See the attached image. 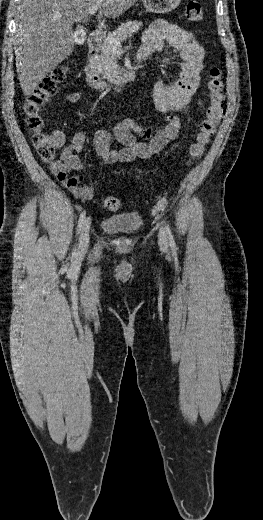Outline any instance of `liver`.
<instances>
[{
  "mask_svg": "<svg viewBox=\"0 0 263 520\" xmlns=\"http://www.w3.org/2000/svg\"><path fill=\"white\" fill-rule=\"evenodd\" d=\"M137 0H20L16 22L15 56L20 86L33 93L48 73L74 50V22H87L88 10L117 18Z\"/></svg>",
  "mask_w": 263,
  "mask_h": 520,
  "instance_id": "obj_1",
  "label": "liver"
}]
</instances>
